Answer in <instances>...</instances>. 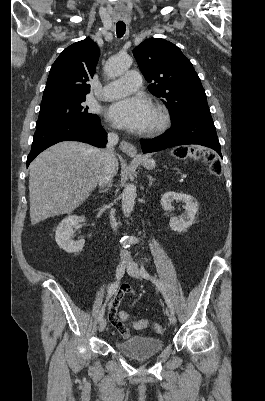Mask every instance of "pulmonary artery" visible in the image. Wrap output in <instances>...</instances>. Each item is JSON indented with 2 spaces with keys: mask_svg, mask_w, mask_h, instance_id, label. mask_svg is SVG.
Listing matches in <instances>:
<instances>
[{
  "mask_svg": "<svg viewBox=\"0 0 265 401\" xmlns=\"http://www.w3.org/2000/svg\"><path fill=\"white\" fill-rule=\"evenodd\" d=\"M109 83V88H104L101 92V97L104 100L123 101L124 95H138L140 76L135 72H130L128 75H121V73H114ZM113 88V91H112Z\"/></svg>",
  "mask_w": 265,
  "mask_h": 401,
  "instance_id": "obj_1",
  "label": "pulmonary artery"
}]
</instances>
